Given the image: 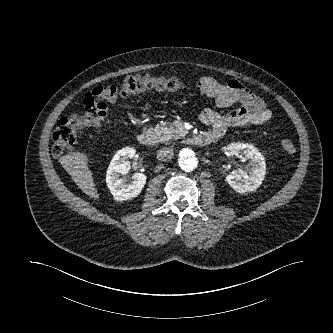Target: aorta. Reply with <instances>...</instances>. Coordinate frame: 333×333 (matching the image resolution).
I'll use <instances>...</instances> for the list:
<instances>
[{
  "instance_id": "aorta-1",
  "label": "aorta",
  "mask_w": 333,
  "mask_h": 333,
  "mask_svg": "<svg viewBox=\"0 0 333 333\" xmlns=\"http://www.w3.org/2000/svg\"><path fill=\"white\" fill-rule=\"evenodd\" d=\"M178 164L186 172L193 171L198 166V160L195 153L190 148H184L179 152Z\"/></svg>"
}]
</instances>
